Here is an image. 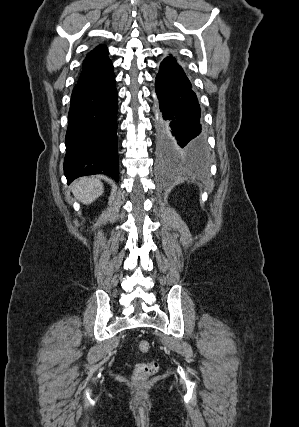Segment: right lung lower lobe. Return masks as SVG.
<instances>
[{
    "mask_svg": "<svg viewBox=\"0 0 299 427\" xmlns=\"http://www.w3.org/2000/svg\"><path fill=\"white\" fill-rule=\"evenodd\" d=\"M114 77L112 70L99 79L78 82L73 89L64 159L68 183L94 174L119 179Z\"/></svg>",
    "mask_w": 299,
    "mask_h": 427,
    "instance_id": "right-lung-lower-lobe-1",
    "label": "right lung lower lobe"
}]
</instances>
